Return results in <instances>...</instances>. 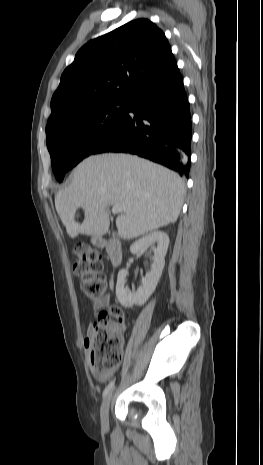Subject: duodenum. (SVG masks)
Masks as SVG:
<instances>
[{
	"label": "duodenum",
	"instance_id": "1",
	"mask_svg": "<svg viewBox=\"0 0 263 465\" xmlns=\"http://www.w3.org/2000/svg\"><path fill=\"white\" fill-rule=\"evenodd\" d=\"M96 245L106 250L108 259L113 267L120 265L123 259V251L121 243L118 240H96Z\"/></svg>",
	"mask_w": 263,
	"mask_h": 465
}]
</instances>
